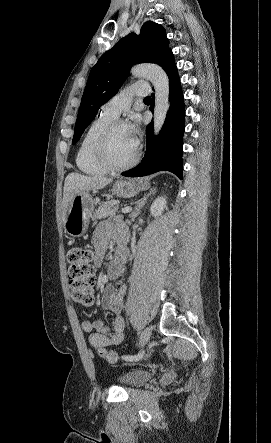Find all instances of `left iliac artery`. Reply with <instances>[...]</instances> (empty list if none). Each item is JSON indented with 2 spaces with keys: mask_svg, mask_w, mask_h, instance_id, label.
Returning a JSON list of instances; mask_svg holds the SVG:
<instances>
[{
  "mask_svg": "<svg viewBox=\"0 0 271 443\" xmlns=\"http://www.w3.org/2000/svg\"><path fill=\"white\" fill-rule=\"evenodd\" d=\"M144 350L140 351L137 355H123L122 358L126 361H139L144 357Z\"/></svg>",
  "mask_w": 271,
  "mask_h": 443,
  "instance_id": "obj_1",
  "label": "left iliac artery"
}]
</instances>
